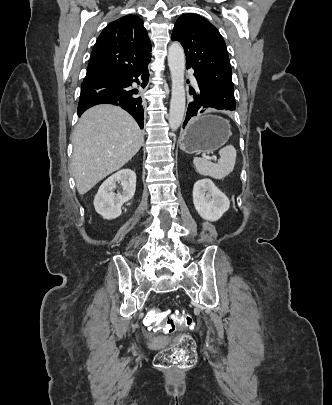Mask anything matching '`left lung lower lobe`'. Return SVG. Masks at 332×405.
<instances>
[{"label":"left lung lower lobe","instance_id":"obj_1","mask_svg":"<svg viewBox=\"0 0 332 405\" xmlns=\"http://www.w3.org/2000/svg\"><path fill=\"white\" fill-rule=\"evenodd\" d=\"M195 78L198 83V89L197 91L190 90V94L193 96V100L188 105L187 114L183 125L184 127L191 119V117L196 116L199 113H203L208 108L222 109L218 106H215L211 102L209 94H207V92L199 85L198 78L196 76Z\"/></svg>","mask_w":332,"mask_h":405}]
</instances>
